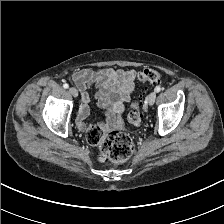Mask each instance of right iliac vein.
Instances as JSON below:
<instances>
[{
	"label": "right iliac vein",
	"instance_id": "1",
	"mask_svg": "<svg viewBox=\"0 0 224 224\" xmlns=\"http://www.w3.org/2000/svg\"><path fill=\"white\" fill-rule=\"evenodd\" d=\"M69 92L74 96L77 97L78 96V91L75 87H70L69 88Z\"/></svg>",
	"mask_w": 224,
	"mask_h": 224
}]
</instances>
